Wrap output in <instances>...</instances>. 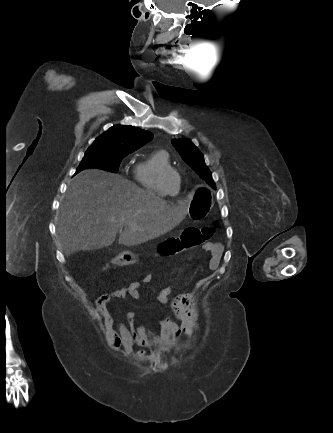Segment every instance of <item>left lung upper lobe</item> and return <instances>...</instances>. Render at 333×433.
Returning <instances> with one entry per match:
<instances>
[{"label": "left lung upper lobe", "mask_w": 333, "mask_h": 433, "mask_svg": "<svg viewBox=\"0 0 333 433\" xmlns=\"http://www.w3.org/2000/svg\"><path fill=\"white\" fill-rule=\"evenodd\" d=\"M173 146L179 152L183 160L194 169L211 187H215L210 171L205 165L203 155L198 148L187 139L172 141Z\"/></svg>", "instance_id": "obj_1"}]
</instances>
